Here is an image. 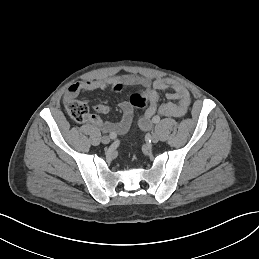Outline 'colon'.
I'll list each match as a JSON object with an SVG mask.
<instances>
[{
	"label": "colon",
	"mask_w": 259,
	"mask_h": 259,
	"mask_svg": "<svg viewBox=\"0 0 259 259\" xmlns=\"http://www.w3.org/2000/svg\"><path fill=\"white\" fill-rule=\"evenodd\" d=\"M130 104L137 109H142L147 105L148 92H136L130 97ZM68 115L76 122H85L89 119V109L87 105L79 100L70 99L66 102Z\"/></svg>",
	"instance_id": "1"
}]
</instances>
